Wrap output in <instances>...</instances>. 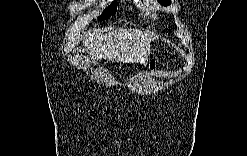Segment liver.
Returning <instances> with one entry per match:
<instances>
[{
    "mask_svg": "<svg viewBox=\"0 0 247 156\" xmlns=\"http://www.w3.org/2000/svg\"><path fill=\"white\" fill-rule=\"evenodd\" d=\"M154 37L144 34L138 29L120 28L94 30L86 34L83 46L90 57L95 60L102 58L120 63H141L146 65L150 51V42Z\"/></svg>",
    "mask_w": 247,
    "mask_h": 156,
    "instance_id": "1",
    "label": "liver"
}]
</instances>
